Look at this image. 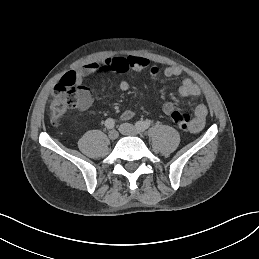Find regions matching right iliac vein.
Masks as SVG:
<instances>
[{
  "label": "right iliac vein",
  "mask_w": 259,
  "mask_h": 259,
  "mask_svg": "<svg viewBox=\"0 0 259 259\" xmlns=\"http://www.w3.org/2000/svg\"><path fill=\"white\" fill-rule=\"evenodd\" d=\"M118 132L116 130H111L108 133V136L111 140H116L118 138Z\"/></svg>",
  "instance_id": "obj_1"
}]
</instances>
